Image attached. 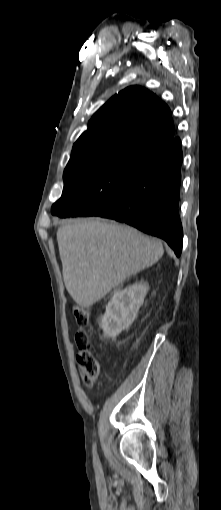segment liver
I'll return each instance as SVG.
<instances>
[{
  "instance_id": "liver-1",
  "label": "liver",
  "mask_w": 221,
  "mask_h": 510,
  "mask_svg": "<svg viewBox=\"0 0 221 510\" xmlns=\"http://www.w3.org/2000/svg\"><path fill=\"white\" fill-rule=\"evenodd\" d=\"M65 287L82 307L100 301L126 278L155 264L161 241L100 219L68 221L57 230Z\"/></svg>"
}]
</instances>
